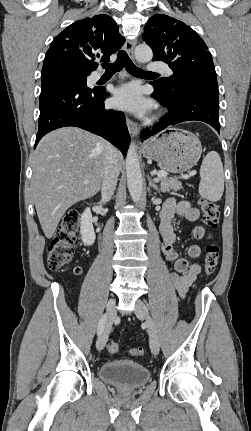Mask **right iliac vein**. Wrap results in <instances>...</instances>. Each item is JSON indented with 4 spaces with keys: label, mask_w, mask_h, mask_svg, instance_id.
I'll use <instances>...</instances> for the list:
<instances>
[{
    "label": "right iliac vein",
    "mask_w": 251,
    "mask_h": 431,
    "mask_svg": "<svg viewBox=\"0 0 251 431\" xmlns=\"http://www.w3.org/2000/svg\"><path fill=\"white\" fill-rule=\"evenodd\" d=\"M115 304H116V300L114 298L108 301V304L106 307V315H107L106 325L102 333L99 335L96 343V347L98 350H102L104 348L106 341L108 339L110 328L115 319Z\"/></svg>",
    "instance_id": "right-iliac-vein-1"
}]
</instances>
